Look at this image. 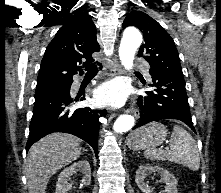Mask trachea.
I'll use <instances>...</instances> for the list:
<instances>
[{"label": "trachea", "mask_w": 221, "mask_h": 193, "mask_svg": "<svg viewBox=\"0 0 221 193\" xmlns=\"http://www.w3.org/2000/svg\"><path fill=\"white\" fill-rule=\"evenodd\" d=\"M85 70L87 71V73H95L98 71V68L95 64H90L85 67Z\"/></svg>", "instance_id": "obj_1"}]
</instances>
